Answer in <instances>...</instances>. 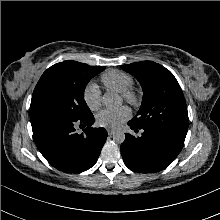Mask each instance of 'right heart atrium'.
Listing matches in <instances>:
<instances>
[{"label":"right heart atrium","instance_id":"d8ad5b80","mask_svg":"<svg viewBox=\"0 0 220 220\" xmlns=\"http://www.w3.org/2000/svg\"><path fill=\"white\" fill-rule=\"evenodd\" d=\"M83 99L90 110H97L101 105V91L95 83H89L83 91Z\"/></svg>","mask_w":220,"mask_h":220}]
</instances>
